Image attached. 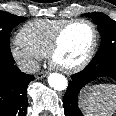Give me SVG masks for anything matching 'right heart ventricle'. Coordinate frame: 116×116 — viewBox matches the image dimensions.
<instances>
[{"label":"right heart ventricle","instance_id":"right-heart-ventricle-1","mask_svg":"<svg viewBox=\"0 0 116 116\" xmlns=\"http://www.w3.org/2000/svg\"><path fill=\"white\" fill-rule=\"evenodd\" d=\"M67 19H36L26 23L17 34V42L45 57L52 39Z\"/></svg>","mask_w":116,"mask_h":116}]
</instances>
